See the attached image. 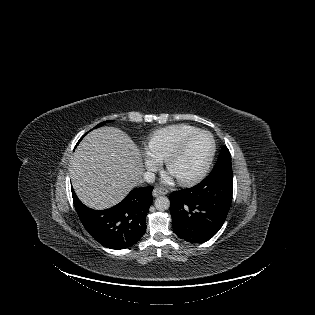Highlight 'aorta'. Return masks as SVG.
<instances>
[{
	"instance_id": "obj_1",
	"label": "aorta",
	"mask_w": 315,
	"mask_h": 315,
	"mask_svg": "<svg viewBox=\"0 0 315 315\" xmlns=\"http://www.w3.org/2000/svg\"><path fill=\"white\" fill-rule=\"evenodd\" d=\"M155 207L160 211L167 210L170 207V201L166 196H159L155 200Z\"/></svg>"
}]
</instances>
